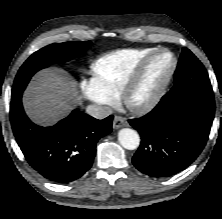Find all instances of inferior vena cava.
<instances>
[{
	"mask_svg": "<svg viewBox=\"0 0 222 219\" xmlns=\"http://www.w3.org/2000/svg\"><path fill=\"white\" fill-rule=\"evenodd\" d=\"M86 111L89 115L96 119H104L113 113L112 109L107 106L100 105H89L86 108Z\"/></svg>",
	"mask_w": 222,
	"mask_h": 219,
	"instance_id": "602c4592",
	"label": "inferior vena cava"
}]
</instances>
